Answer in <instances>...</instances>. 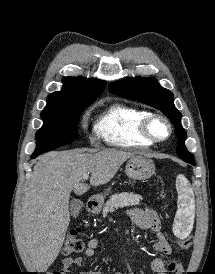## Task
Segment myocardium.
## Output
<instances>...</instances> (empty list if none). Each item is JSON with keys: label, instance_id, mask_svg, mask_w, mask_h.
I'll return each mask as SVG.
<instances>
[{"label": "myocardium", "instance_id": "f54148a6", "mask_svg": "<svg viewBox=\"0 0 215 274\" xmlns=\"http://www.w3.org/2000/svg\"><path fill=\"white\" fill-rule=\"evenodd\" d=\"M155 122H162L167 128V134L164 137H157L153 132V125ZM172 124L170 120L158 113H150L147 115L140 125L141 134L152 144H159L167 141L172 135Z\"/></svg>", "mask_w": 215, "mask_h": 274}]
</instances>
